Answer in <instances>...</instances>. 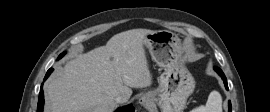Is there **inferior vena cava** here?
Segmentation results:
<instances>
[{
	"mask_svg": "<svg viewBox=\"0 0 270 112\" xmlns=\"http://www.w3.org/2000/svg\"><path fill=\"white\" fill-rule=\"evenodd\" d=\"M127 101L126 97L122 96V95H117L115 97V102L116 103H125Z\"/></svg>",
	"mask_w": 270,
	"mask_h": 112,
	"instance_id": "1",
	"label": "inferior vena cava"
}]
</instances>
